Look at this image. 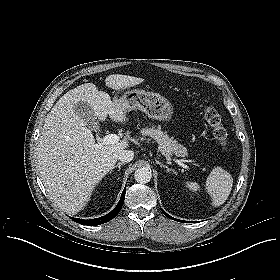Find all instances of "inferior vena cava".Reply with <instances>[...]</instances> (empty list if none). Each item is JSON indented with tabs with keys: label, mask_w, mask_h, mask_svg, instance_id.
<instances>
[{
	"label": "inferior vena cava",
	"mask_w": 280,
	"mask_h": 280,
	"mask_svg": "<svg viewBox=\"0 0 280 280\" xmlns=\"http://www.w3.org/2000/svg\"><path fill=\"white\" fill-rule=\"evenodd\" d=\"M133 158L134 152L131 150H122L118 155V159L123 163L130 162L133 160Z\"/></svg>",
	"instance_id": "1"
}]
</instances>
